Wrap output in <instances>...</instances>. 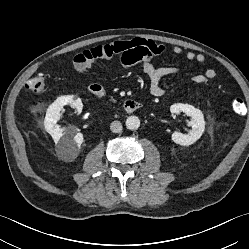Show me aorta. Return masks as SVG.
Masks as SVG:
<instances>
[{
  "label": "aorta",
  "instance_id": "aorta-1",
  "mask_svg": "<svg viewBox=\"0 0 249 249\" xmlns=\"http://www.w3.org/2000/svg\"><path fill=\"white\" fill-rule=\"evenodd\" d=\"M126 127L129 130H137L140 126V120L137 116H129L126 119Z\"/></svg>",
  "mask_w": 249,
  "mask_h": 249
}]
</instances>
